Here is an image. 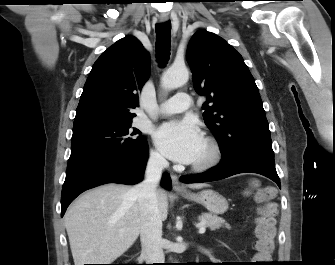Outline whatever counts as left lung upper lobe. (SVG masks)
Returning <instances> with one entry per match:
<instances>
[{"instance_id": "5c2ea615", "label": "left lung upper lobe", "mask_w": 335, "mask_h": 265, "mask_svg": "<svg viewBox=\"0 0 335 265\" xmlns=\"http://www.w3.org/2000/svg\"><path fill=\"white\" fill-rule=\"evenodd\" d=\"M186 57L196 92L207 97L203 118L222 157L239 151L274 157L262 100L242 56L221 37L202 30L191 38Z\"/></svg>"}]
</instances>
